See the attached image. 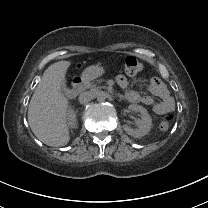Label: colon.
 <instances>
[{
  "mask_svg": "<svg viewBox=\"0 0 208 208\" xmlns=\"http://www.w3.org/2000/svg\"><path fill=\"white\" fill-rule=\"evenodd\" d=\"M142 68V65L135 55H128L124 60V70L126 75L133 76L137 74ZM172 124V117L170 115H165L162 117L159 129L161 131H167Z\"/></svg>",
  "mask_w": 208,
  "mask_h": 208,
  "instance_id": "5ec220e1",
  "label": "colon"
}]
</instances>
